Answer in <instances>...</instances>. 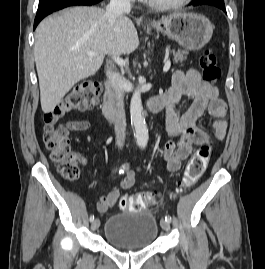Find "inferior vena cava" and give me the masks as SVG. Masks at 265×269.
I'll return each instance as SVG.
<instances>
[{
	"label": "inferior vena cava",
	"mask_w": 265,
	"mask_h": 269,
	"mask_svg": "<svg viewBox=\"0 0 265 269\" xmlns=\"http://www.w3.org/2000/svg\"><path fill=\"white\" fill-rule=\"evenodd\" d=\"M131 11L130 0H110L106 7V18L110 27H113L116 20L123 14ZM107 76L115 90L116 115L114 121V130L116 136V145L122 149L126 137V117L124 109V92L122 89V81L119 73L107 72Z\"/></svg>",
	"instance_id": "obj_1"
}]
</instances>
